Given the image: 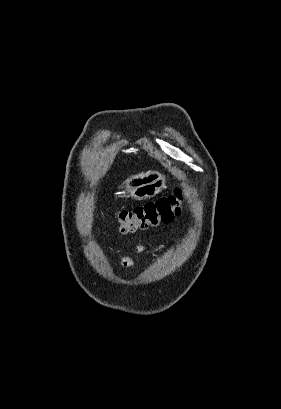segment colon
I'll return each instance as SVG.
<instances>
[{
    "mask_svg": "<svg viewBox=\"0 0 281 409\" xmlns=\"http://www.w3.org/2000/svg\"><path fill=\"white\" fill-rule=\"evenodd\" d=\"M181 190L177 189L173 195L159 198L132 208H123L116 212L115 217L121 232H135L174 219L179 213Z\"/></svg>",
    "mask_w": 281,
    "mask_h": 409,
    "instance_id": "1",
    "label": "colon"
}]
</instances>
